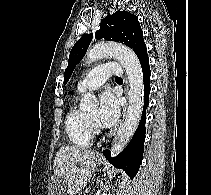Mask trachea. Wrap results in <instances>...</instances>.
<instances>
[{
	"mask_svg": "<svg viewBox=\"0 0 211 195\" xmlns=\"http://www.w3.org/2000/svg\"><path fill=\"white\" fill-rule=\"evenodd\" d=\"M116 81H122V79L120 77H115Z\"/></svg>",
	"mask_w": 211,
	"mask_h": 195,
	"instance_id": "3493384b",
	"label": "trachea"
}]
</instances>
